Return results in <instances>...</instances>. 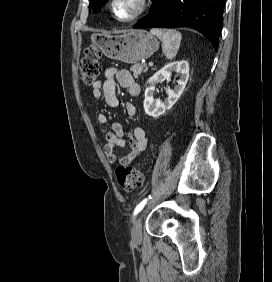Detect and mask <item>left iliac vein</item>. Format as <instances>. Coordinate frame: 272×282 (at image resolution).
Returning <instances> with one entry per match:
<instances>
[{
  "instance_id": "4c4485c4",
  "label": "left iliac vein",
  "mask_w": 272,
  "mask_h": 282,
  "mask_svg": "<svg viewBox=\"0 0 272 282\" xmlns=\"http://www.w3.org/2000/svg\"><path fill=\"white\" fill-rule=\"evenodd\" d=\"M143 212H140L138 216L134 219L133 225L131 228V238L132 242L135 244H139L142 240V219Z\"/></svg>"
}]
</instances>
